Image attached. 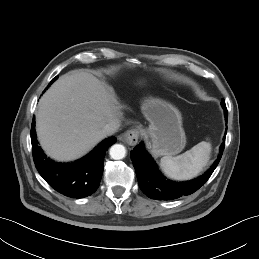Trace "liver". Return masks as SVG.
Returning a JSON list of instances; mask_svg holds the SVG:
<instances>
[{"instance_id": "1", "label": "liver", "mask_w": 259, "mask_h": 259, "mask_svg": "<svg viewBox=\"0 0 259 259\" xmlns=\"http://www.w3.org/2000/svg\"><path fill=\"white\" fill-rule=\"evenodd\" d=\"M123 106L112 87L84 70L62 75L41 97L36 130L48 156L78 159L103 140L106 124H121Z\"/></svg>"}]
</instances>
